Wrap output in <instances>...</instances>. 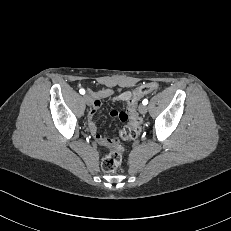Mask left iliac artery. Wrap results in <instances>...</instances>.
<instances>
[{
	"label": "left iliac artery",
	"instance_id": "left-iliac-artery-1",
	"mask_svg": "<svg viewBox=\"0 0 231 231\" xmlns=\"http://www.w3.org/2000/svg\"><path fill=\"white\" fill-rule=\"evenodd\" d=\"M142 103H143L144 105H147V104H148V100H147V99H144Z\"/></svg>",
	"mask_w": 231,
	"mask_h": 231
}]
</instances>
